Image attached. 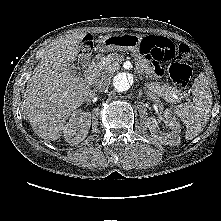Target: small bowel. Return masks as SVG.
<instances>
[{
    "label": "small bowel",
    "instance_id": "c3829d8e",
    "mask_svg": "<svg viewBox=\"0 0 221 221\" xmlns=\"http://www.w3.org/2000/svg\"><path fill=\"white\" fill-rule=\"evenodd\" d=\"M151 37H153L155 39H158V40L168 39V38L163 37V36H151ZM138 66L141 70H144L148 74H152V75H155V76H160L161 73H162L160 68L155 66L151 61H149L146 56H140L138 58Z\"/></svg>",
    "mask_w": 221,
    "mask_h": 221
}]
</instances>
